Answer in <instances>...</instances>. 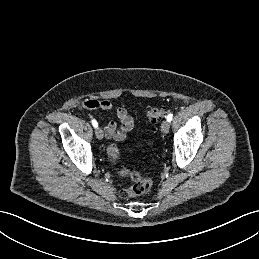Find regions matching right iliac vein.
<instances>
[{"label":"right iliac vein","mask_w":259,"mask_h":259,"mask_svg":"<svg viewBox=\"0 0 259 259\" xmlns=\"http://www.w3.org/2000/svg\"><path fill=\"white\" fill-rule=\"evenodd\" d=\"M95 135L96 137L99 139V140H102L103 137H104V133H103V130L101 128H96L95 129Z\"/></svg>","instance_id":"obj_1"}]
</instances>
